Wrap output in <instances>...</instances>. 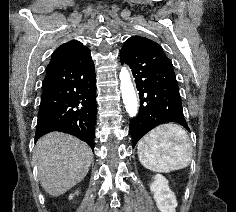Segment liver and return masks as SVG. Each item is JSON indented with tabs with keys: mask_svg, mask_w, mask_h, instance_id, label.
Segmentation results:
<instances>
[{
	"mask_svg": "<svg viewBox=\"0 0 236 212\" xmlns=\"http://www.w3.org/2000/svg\"><path fill=\"white\" fill-rule=\"evenodd\" d=\"M34 158L42 188L56 197L84 179L93 153L86 143L76 137L52 132L37 141Z\"/></svg>",
	"mask_w": 236,
	"mask_h": 212,
	"instance_id": "liver-1",
	"label": "liver"
}]
</instances>
